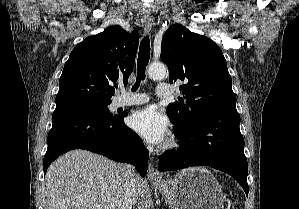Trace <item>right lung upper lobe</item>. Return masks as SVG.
Here are the masks:
<instances>
[{
	"label": "right lung upper lobe",
	"mask_w": 299,
	"mask_h": 209,
	"mask_svg": "<svg viewBox=\"0 0 299 209\" xmlns=\"http://www.w3.org/2000/svg\"><path fill=\"white\" fill-rule=\"evenodd\" d=\"M139 43L137 32L120 26L87 37L71 52L59 80L56 106L76 102H111L117 80L126 84Z\"/></svg>",
	"instance_id": "obj_1"
}]
</instances>
